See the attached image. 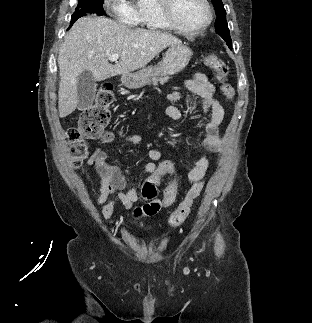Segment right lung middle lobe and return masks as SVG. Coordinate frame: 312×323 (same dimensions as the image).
Returning <instances> with one entry per match:
<instances>
[{"label": "right lung middle lobe", "instance_id": "obj_1", "mask_svg": "<svg viewBox=\"0 0 312 323\" xmlns=\"http://www.w3.org/2000/svg\"><path fill=\"white\" fill-rule=\"evenodd\" d=\"M103 0H78V5L74 14L72 15L70 27L74 22L82 16H85L88 13H95L99 16L104 14Z\"/></svg>", "mask_w": 312, "mask_h": 323}]
</instances>
